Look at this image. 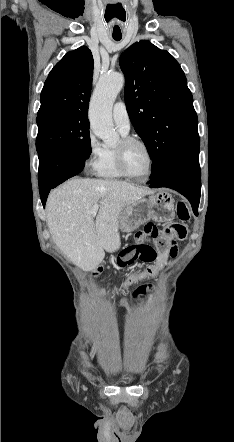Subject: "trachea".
Listing matches in <instances>:
<instances>
[{"label": "trachea", "instance_id": "3493384b", "mask_svg": "<svg viewBox=\"0 0 234 442\" xmlns=\"http://www.w3.org/2000/svg\"><path fill=\"white\" fill-rule=\"evenodd\" d=\"M115 41L121 40V37H113Z\"/></svg>", "mask_w": 234, "mask_h": 442}]
</instances>
